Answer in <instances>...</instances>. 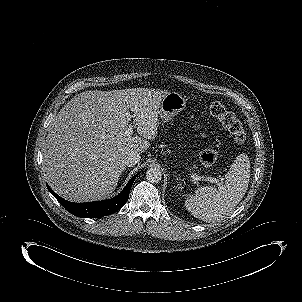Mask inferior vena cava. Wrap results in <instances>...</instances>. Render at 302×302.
<instances>
[{"label":"inferior vena cava","instance_id":"1","mask_svg":"<svg viewBox=\"0 0 302 302\" xmlns=\"http://www.w3.org/2000/svg\"><path fill=\"white\" fill-rule=\"evenodd\" d=\"M141 159V156L138 152H130L127 154V156L124 159L125 165L131 167L136 165Z\"/></svg>","mask_w":302,"mask_h":302}]
</instances>
